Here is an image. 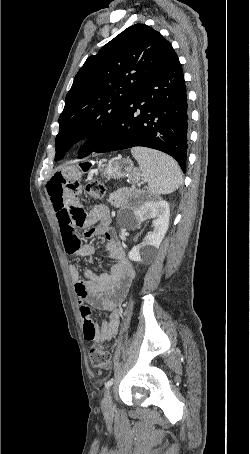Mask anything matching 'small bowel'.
I'll return each instance as SVG.
<instances>
[{
	"mask_svg": "<svg viewBox=\"0 0 250 454\" xmlns=\"http://www.w3.org/2000/svg\"><path fill=\"white\" fill-rule=\"evenodd\" d=\"M47 191L68 254L91 256L95 252L92 245L81 243L76 232L77 228L84 230L85 238L95 235H103L106 238L105 250L112 260L109 273L96 275L92 270L85 269L81 274L75 265H71L69 270L80 303L84 338L95 342L110 341L118 331L120 323L118 307L134 278L133 267L110 226L108 208L98 205L87 212L79 202L82 185L77 178L56 174L48 181ZM92 307L104 310L108 320L96 324L91 318Z\"/></svg>",
	"mask_w": 250,
	"mask_h": 454,
	"instance_id": "1",
	"label": "small bowel"
}]
</instances>
